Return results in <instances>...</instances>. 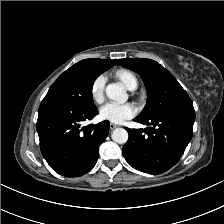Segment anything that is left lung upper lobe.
Returning a JSON list of instances; mask_svg holds the SVG:
<instances>
[{"mask_svg":"<svg viewBox=\"0 0 224 224\" xmlns=\"http://www.w3.org/2000/svg\"><path fill=\"white\" fill-rule=\"evenodd\" d=\"M118 65L135 71L144 81L148 98L139 118L151 119L175 108L193 106L178 81L156 61L126 58L120 59Z\"/></svg>","mask_w":224,"mask_h":224,"instance_id":"left-lung-upper-lobe-1","label":"left lung upper lobe"}]
</instances>
